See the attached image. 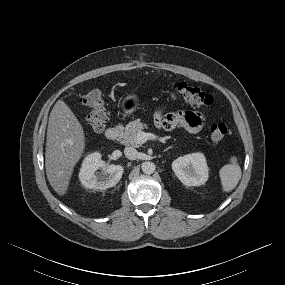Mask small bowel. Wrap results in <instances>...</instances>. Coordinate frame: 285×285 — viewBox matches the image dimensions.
<instances>
[{"instance_id":"small-bowel-1","label":"small bowel","mask_w":285,"mask_h":285,"mask_svg":"<svg viewBox=\"0 0 285 285\" xmlns=\"http://www.w3.org/2000/svg\"><path fill=\"white\" fill-rule=\"evenodd\" d=\"M155 119L157 124L165 129L182 127L190 133L201 131L206 122V117L203 113L193 111H178L165 114L158 112Z\"/></svg>"}]
</instances>
